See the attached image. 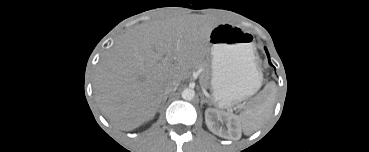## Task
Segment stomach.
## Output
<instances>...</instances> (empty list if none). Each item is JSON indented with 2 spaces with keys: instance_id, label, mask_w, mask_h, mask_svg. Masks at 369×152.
Instances as JSON below:
<instances>
[{
  "instance_id": "1",
  "label": "stomach",
  "mask_w": 369,
  "mask_h": 152,
  "mask_svg": "<svg viewBox=\"0 0 369 152\" xmlns=\"http://www.w3.org/2000/svg\"><path fill=\"white\" fill-rule=\"evenodd\" d=\"M211 90L219 107H229L256 92L261 84L252 50V36L242 28L221 23L210 33Z\"/></svg>"
}]
</instances>
